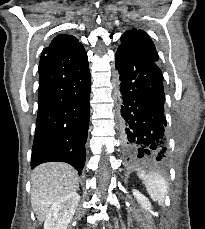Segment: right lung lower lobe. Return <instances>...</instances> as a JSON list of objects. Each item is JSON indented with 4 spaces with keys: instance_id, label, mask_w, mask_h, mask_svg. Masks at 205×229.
Masks as SVG:
<instances>
[{
    "instance_id": "obj_1",
    "label": "right lung lower lobe",
    "mask_w": 205,
    "mask_h": 229,
    "mask_svg": "<svg viewBox=\"0 0 205 229\" xmlns=\"http://www.w3.org/2000/svg\"><path fill=\"white\" fill-rule=\"evenodd\" d=\"M38 115L31 167L49 161L84 167L90 113V71L65 66L55 50L39 63Z\"/></svg>"
}]
</instances>
